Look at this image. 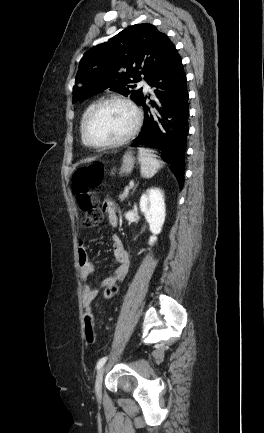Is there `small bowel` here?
Here are the masks:
<instances>
[{
    "instance_id": "obj_1",
    "label": "small bowel",
    "mask_w": 264,
    "mask_h": 433,
    "mask_svg": "<svg viewBox=\"0 0 264 433\" xmlns=\"http://www.w3.org/2000/svg\"><path fill=\"white\" fill-rule=\"evenodd\" d=\"M103 211L107 213L110 225L112 227H116L118 225L117 211L114 204L110 200L106 199L103 202ZM112 249L117 266L114 270L113 275L103 279V286H108L110 284L123 281L130 269L129 254L118 235L113 236ZM78 263L80 268V275L83 280L82 296L85 306L84 335L86 341L89 344H93L96 341V334L94 330L95 323L92 313V303L97 298L99 290L95 287H92L88 282L90 275L94 272V265L90 261L88 253L82 241L80 242V247L78 251Z\"/></svg>"
}]
</instances>
